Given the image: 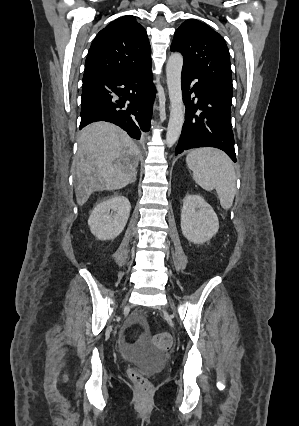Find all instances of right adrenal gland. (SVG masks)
Instances as JSON below:
<instances>
[{"label": "right adrenal gland", "instance_id": "2a0ac1e0", "mask_svg": "<svg viewBox=\"0 0 299 426\" xmlns=\"http://www.w3.org/2000/svg\"><path fill=\"white\" fill-rule=\"evenodd\" d=\"M136 181V176L132 179L131 183H134Z\"/></svg>", "mask_w": 299, "mask_h": 426}]
</instances>
